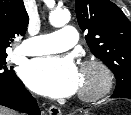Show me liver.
Instances as JSON below:
<instances>
[{
    "instance_id": "liver-1",
    "label": "liver",
    "mask_w": 131,
    "mask_h": 115,
    "mask_svg": "<svg viewBox=\"0 0 131 115\" xmlns=\"http://www.w3.org/2000/svg\"><path fill=\"white\" fill-rule=\"evenodd\" d=\"M0 115H17L15 112L0 106Z\"/></svg>"
}]
</instances>
